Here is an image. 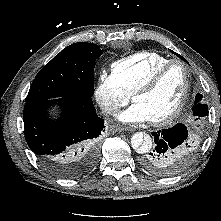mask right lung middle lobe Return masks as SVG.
<instances>
[{
	"label": "right lung middle lobe",
	"instance_id": "1",
	"mask_svg": "<svg viewBox=\"0 0 221 221\" xmlns=\"http://www.w3.org/2000/svg\"><path fill=\"white\" fill-rule=\"evenodd\" d=\"M103 53L93 43H74L47 63L32 82L26 102L94 94L95 60Z\"/></svg>",
	"mask_w": 221,
	"mask_h": 221
}]
</instances>
